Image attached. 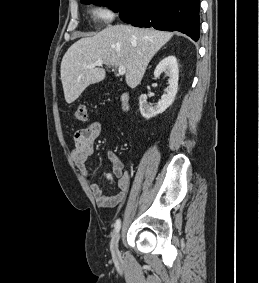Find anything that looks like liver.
Instances as JSON below:
<instances>
[{"mask_svg": "<svg viewBox=\"0 0 259 283\" xmlns=\"http://www.w3.org/2000/svg\"><path fill=\"white\" fill-rule=\"evenodd\" d=\"M172 36L170 32L121 24L109 26L92 37L79 39L70 46L61 62L66 102H74L89 85L105 78V69L92 66L99 59L108 68L125 66L127 85L137 87L153 56Z\"/></svg>", "mask_w": 259, "mask_h": 283, "instance_id": "liver-1", "label": "liver"}]
</instances>
